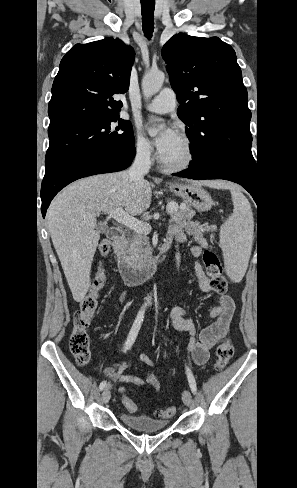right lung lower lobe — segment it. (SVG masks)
<instances>
[{"mask_svg":"<svg viewBox=\"0 0 297 488\" xmlns=\"http://www.w3.org/2000/svg\"><path fill=\"white\" fill-rule=\"evenodd\" d=\"M135 152L134 145L82 152L46 171L40 193L43 217L51 200L66 185L86 176L124 170L131 165Z\"/></svg>","mask_w":297,"mask_h":488,"instance_id":"right-lung-lower-lobe-1","label":"right lung lower lobe"}]
</instances>
